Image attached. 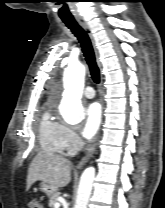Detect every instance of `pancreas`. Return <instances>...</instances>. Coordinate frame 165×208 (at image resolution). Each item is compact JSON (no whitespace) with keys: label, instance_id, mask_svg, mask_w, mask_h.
I'll list each match as a JSON object with an SVG mask.
<instances>
[{"label":"pancreas","instance_id":"1","mask_svg":"<svg viewBox=\"0 0 165 208\" xmlns=\"http://www.w3.org/2000/svg\"><path fill=\"white\" fill-rule=\"evenodd\" d=\"M60 196V192H55L49 200V207L50 208H55V204L58 202V197Z\"/></svg>","mask_w":165,"mask_h":208}]
</instances>
